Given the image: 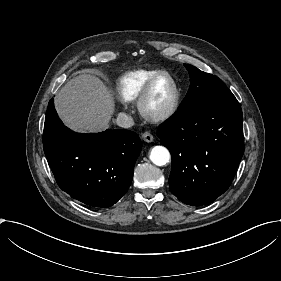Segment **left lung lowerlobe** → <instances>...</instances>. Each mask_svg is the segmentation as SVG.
<instances>
[{
    "mask_svg": "<svg viewBox=\"0 0 281 281\" xmlns=\"http://www.w3.org/2000/svg\"><path fill=\"white\" fill-rule=\"evenodd\" d=\"M242 120L235 98L178 110L159 126L172 156L170 188L180 201L207 205L229 188L244 153Z\"/></svg>",
    "mask_w": 281,
    "mask_h": 281,
    "instance_id": "left-lung-lower-lobe-1",
    "label": "left lung lower lobe"
}]
</instances>
